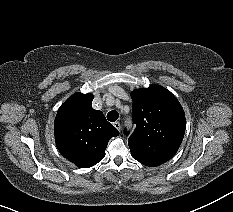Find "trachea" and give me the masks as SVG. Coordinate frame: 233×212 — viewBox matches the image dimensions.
<instances>
[{
    "mask_svg": "<svg viewBox=\"0 0 233 212\" xmlns=\"http://www.w3.org/2000/svg\"><path fill=\"white\" fill-rule=\"evenodd\" d=\"M119 117V114L117 111L115 110H112L110 111L108 114H107V119L110 121V122H115Z\"/></svg>",
    "mask_w": 233,
    "mask_h": 212,
    "instance_id": "trachea-1",
    "label": "trachea"
}]
</instances>
